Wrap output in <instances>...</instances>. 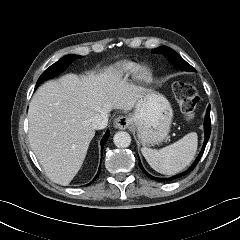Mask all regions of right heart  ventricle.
I'll use <instances>...</instances> for the list:
<instances>
[{"mask_svg": "<svg viewBox=\"0 0 240 240\" xmlns=\"http://www.w3.org/2000/svg\"><path fill=\"white\" fill-rule=\"evenodd\" d=\"M136 64L133 62H120L113 68V76L119 80L135 72Z\"/></svg>", "mask_w": 240, "mask_h": 240, "instance_id": "e07e8e85", "label": "right heart ventricle"}]
</instances>
